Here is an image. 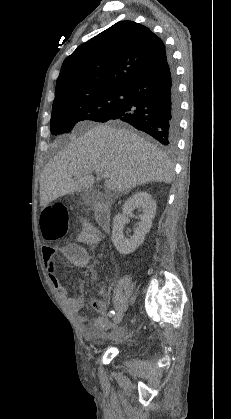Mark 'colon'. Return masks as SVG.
<instances>
[{
    "label": "colon",
    "instance_id": "colon-1",
    "mask_svg": "<svg viewBox=\"0 0 231 419\" xmlns=\"http://www.w3.org/2000/svg\"><path fill=\"white\" fill-rule=\"evenodd\" d=\"M42 225L46 233L55 238L64 234L68 226V212L64 205L54 204L47 207L42 214Z\"/></svg>",
    "mask_w": 231,
    "mask_h": 419
}]
</instances>
